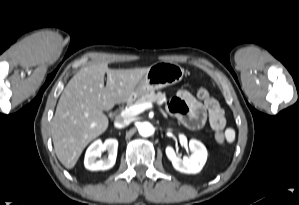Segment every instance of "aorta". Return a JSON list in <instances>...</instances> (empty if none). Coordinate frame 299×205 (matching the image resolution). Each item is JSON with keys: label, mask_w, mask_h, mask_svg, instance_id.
Returning a JSON list of instances; mask_svg holds the SVG:
<instances>
[{"label": "aorta", "mask_w": 299, "mask_h": 205, "mask_svg": "<svg viewBox=\"0 0 299 205\" xmlns=\"http://www.w3.org/2000/svg\"><path fill=\"white\" fill-rule=\"evenodd\" d=\"M138 131L141 136L148 137L153 134L154 128L149 122H142L138 126Z\"/></svg>", "instance_id": "aorta-1"}]
</instances>
